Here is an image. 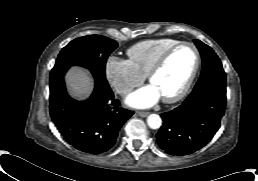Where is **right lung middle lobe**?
Listing matches in <instances>:
<instances>
[{"mask_svg": "<svg viewBox=\"0 0 258 181\" xmlns=\"http://www.w3.org/2000/svg\"><path fill=\"white\" fill-rule=\"evenodd\" d=\"M118 43L101 35H88L71 41L59 53L55 65L89 68L95 80L105 79V65Z\"/></svg>", "mask_w": 258, "mask_h": 181, "instance_id": "dd1d6c3e", "label": "right lung middle lobe"}]
</instances>
